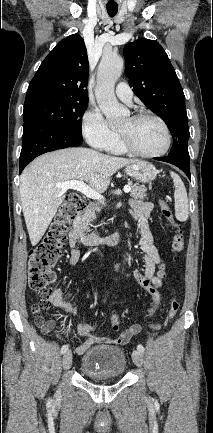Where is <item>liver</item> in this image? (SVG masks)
Listing matches in <instances>:
<instances>
[{
    "label": "liver",
    "instance_id": "liver-1",
    "mask_svg": "<svg viewBox=\"0 0 213 433\" xmlns=\"http://www.w3.org/2000/svg\"><path fill=\"white\" fill-rule=\"evenodd\" d=\"M136 161L83 147L61 149L36 158L20 176L22 210L32 246L41 240L64 200L66 191L56 187V183L83 181L93 190L104 192L113 174Z\"/></svg>",
    "mask_w": 213,
    "mask_h": 433
}]
</instances>
